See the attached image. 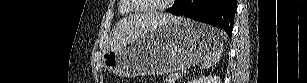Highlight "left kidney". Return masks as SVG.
Returning a JSON list of instances; mask_svg holds the SVG:
<instances>
[{"label": "left kidney", "instance_id": "obj_1", "mask_svg": "<svg viewBox=\"0 0 307 83\" xmlns=\"http://www.w3.org/2000/svg\"><path fill=\"white\" fill-rule=\"evenodd\" d=\"M189 83H220L218 76H203L190 81Z\"/></svg>", "mask_w": 307, "mask_h": 83}]
</instances>
